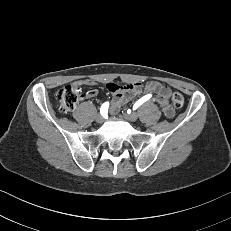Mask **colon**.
<instances>
[{"label":"colon","instance_id":"5ec220e1","mask_svg":"<svg viewBox=\"0 0 231 231\" xmlns=\"http://www.w3.org/2000/svg\"><path fill=\"white\" fill-rule=\"evenodd\" d=\"M84 95L81 89L75 85L62 87L56 94L59 103V109L63 113L71 112L83 99ZM174 107L181 108L184 105V97L178 92L172 94Z\"/></svg>","mask_w":231,"mask_h":231}]
</instances>
